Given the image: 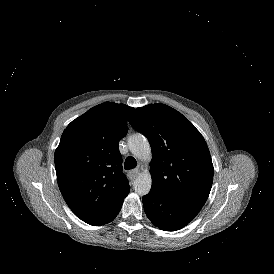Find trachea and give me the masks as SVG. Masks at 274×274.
<instances>
[{
  "instance_id": "trachea-1",
  "label": "trachea",
  "mask_w": 274,
  "mask_h": 274,
  "mask_svg": "<svg viewBox=\"0 0 274 274\" xmlns=\"http://www.w3.org/2000/svg\"><path fill=\"white\" fill-rule=\"evenodd\" d=\"M136 165H137V162L134 157L129 156L126 158L125 165H124L125 169H127V170L133 169L136 167Z\"/></svg>"
}]
</instances>
